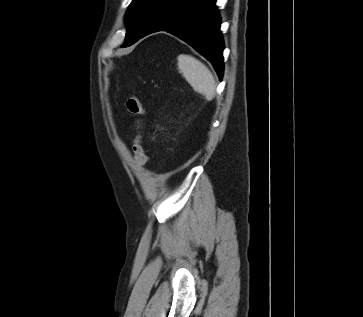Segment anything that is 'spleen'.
Wrapping results in <instances>:
<instances>
[{
	"instance_id": "1",
	"label": "spleen",
	"mask_w": 363,
	"mask_h": 317,
	"mask_svg": "<svg viewBox=\"0 0 363 317\" xmlns=\"http://www.w3.org/2000/svg\"><path fill=\"white\" fill-rule=\"evenodd\" d=\"M178 68L192 88L210 100L216 91V82L211 71L191 55L181 54L177 58Z\"/></svg>"
}]
</instances>
